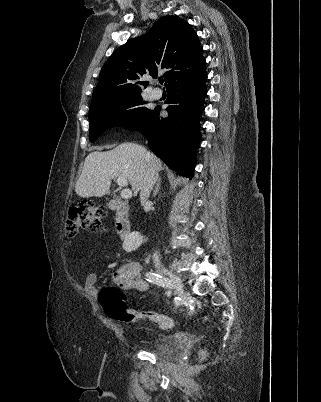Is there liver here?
<instances>
[{
    "label": "liver",
    "mask_w": 321,
    "mask_h": 402,
    "mask_svg": "<svg viewBox=\"0 0 321 402\" xmlns=\"http://www.w3.org/2000/svg\"><path fill=\"white\" fill-rule=\"evenodd\" d=\"M148 163L157 172L162 169L161 160L136 143H123L105 152L93 151L85 159L75 191L82 198L101 197L108 193L112 179L123 177L137 195Z\"/></svg>",
    "instance_id": "1"
}]
</instances>
